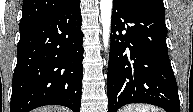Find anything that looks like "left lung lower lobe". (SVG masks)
<instances>
[{"label": "left lung lower lobe", "mask_w": 193, "mask_h": 112, "mask_svg": "<svg viewBox=\"0 0 193 112\" xmlns=\"http://www.w3.org/2000/svg\"><path fill=\"white\" fill-rule=\"evenodd\" d=\"M111 33L109 112L130 103H148L167 112H180L166 44L165 10H128L113 2Z\"/></svg>", "instance_id": "0a47b994"}]
</instances>
